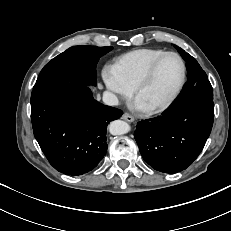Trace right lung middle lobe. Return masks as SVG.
<instances>
[{
  "label": "right lung middle lobe",
  "mask_w": 231,
  "mask_h": 231,
  "mask_svg": "<svg viewBox=\"0 0 231 231\" xmlns=\"http://www.w3.org/2000/svg\"><path fill=\"white\" fill-rule=\"evenodd\" d=\"M111 46H73L52 59L41 70L34 89L65 83L97 84L96 64Z\"/></svg>",
  "instance_id": "dd1d6c3e"
}]
</instances>
